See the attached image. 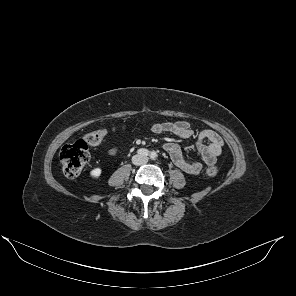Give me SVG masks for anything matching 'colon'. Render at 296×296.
I'll list each match as a JSON object with an SVG mask.
<instances>
[{"mask_svg": "<svg viewBox=\"0 0 296 296\" xmlns=\"http://www.w3.org/2000/svg\"><path fill=\"white\" fill-rule=\"evenodd\" d=\"M109 133L107 129H99L86 134L82 139L65 145L60 151L63 172L68 177L78 176L89 160V145L100 143ZM218 168L211 165L206 168L207 176H215Z\"/></svg>", "mask_w": 296, "mask_h": 296, "instance_id": "1", "label": "colon"}]
</instances>
